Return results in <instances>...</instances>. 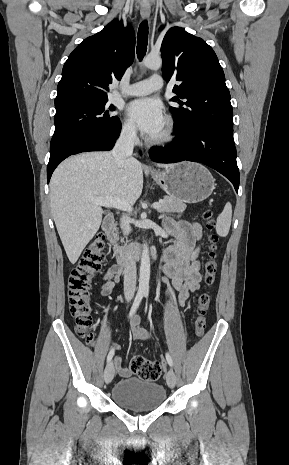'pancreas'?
<instances>
[{
  "instance_id": "obj_1",
  "label": "pancreas",
  "mask_w": 289,
  "mask_h": 465,
  "mask_svg": "<svg viewBox=\"0 0 289 465\" xmlns=\"http://www.w3.org/2000/svg\"><path fill=\"white\" fill-rule=\"evenodd\" d=\"M186 209V205L170 196H164L161 201V206L158 208V212H177L182 213Z\"/></svg>"
}]
</instances>
